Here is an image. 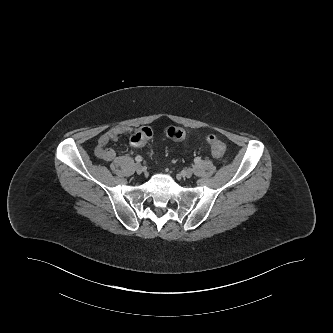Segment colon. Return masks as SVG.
Masks as SVG:
<instances>
[{"mask_svg": "<svg viewBox=\"0 0 333 333\" xmlns=\"http://www.w3.org/2000/svg\"><path fill=\"white\" fill-rule=\"evenodd\" d=\"M153 136V131L149 127H142L137 130L130 138L129 147L134 152L141 151L145 142L150 140ZM167 136L174 140H183L185 138V132L176 127H170L167 130ZM208 145L211 153L216 158H221L225 155L226 147L225 144L216 136L210 135L208 137Z\"/></svg>", "mask_w": 333, "mask_h": 333, "instance_id": "obj_1", "label": "colon"}]
</instances>
